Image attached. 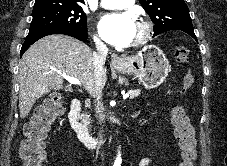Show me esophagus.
<instances>
[{
    "label": "esophagus",
    "mask_w": 227,
    "mask_h": 166,
    "mask_svg": "<svg viewBox=\"0 0 227 166\" xmlns=\"http://www.w3.org/2000/svg\"><path fill=\"white\" fill-rule=\"evenodd\" d=\"M111 63H112V65H119V64L123 63V59L120 56H118L117 54H113L111 56Z\"/></svg>",
    "instance_id": "obj_1"
}]
</instances>
